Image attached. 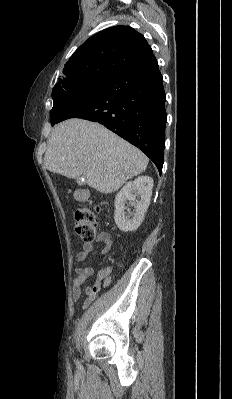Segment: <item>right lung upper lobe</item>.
I'll use <instances>...</instances> for the list:
<instances>
[{
    "instance_id": "cb5924a9",
    "label": "right lung upper lobe",
    "mask_w": 232,
    "mask_h": 399,
    "mask_svg": "<svg viewBox=\"0 0 232 399\" xmlns=\"http://www.w3.org/2000/svg\"><path fill=\"white\" fill-rule=\"evenodd\" d=\"M153 55L144 36L129 26L107 28L85 41L66 63L52 90L58 94L75 80L109 78Z\"/></svg>"
}]
</instances>
